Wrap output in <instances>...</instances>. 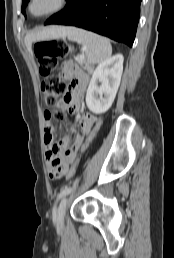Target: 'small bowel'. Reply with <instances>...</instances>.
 Instances as JSON below:
<instances>
[{"label":"small bowel","mask_w":174,"mask_h":258,"mask_svg":"<svg viewBox=\"0 0 174 258\" xmlns=\"http://www.w3.org/2000/svg\"><path fill=\"white\" fill-rule=\"evenodd\" d=\"M62 75L71 78L74 81L73 91L66 98L59 102V107L67 109L71 113L79 110L81 96L89 82V74L80 68L75 61H67L62 65ZM84 117H93V112H84ZM45 135L44 143L46 147V160L50 166L49 178L51 183H62L64 175H68L70 161H75L76 152L79 149L82 139L77 136L74 141L69 142L67 138L55 141L53 137V125L49 114L45 112ZM95 118H79V127L81 134H90ZM57 147H62L58 151ZM65 150L63 151V149Z\"/></svg>","instance_id":"small-bowel-1"}]
</instances>
